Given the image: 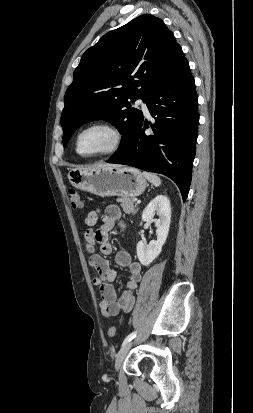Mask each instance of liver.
Instances as JSON below:
<instances>
[{
  "label": "liver",
  "instance_id": "1",
  "mask_svg": "<svg viewBox=\"0 0 253 413\" xmlns=\"http://www.w3.org/2000/svg\"><path fill=\"white\" fill-rule=\"evenodd\" d=\"M116 166H120V165L101 163V164H98V165H96V166H94V167H116Z\"/></svg>",
  "mask_w": 253,
  "mask_h": 413
}]
</instances>
